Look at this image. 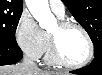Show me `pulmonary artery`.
Segmentation results:
<instances>
[{"instance_id":"pulmonary-artery-1","label":"pulmonary artery","mask_w":102,"mask_h":75,"mask_svg":"<svg viewBox=\"0 0 102 75\" xmlns=\"http://www.w3.org/2000/svg\"><path fill=\"white\" fill-rule=\"evenodd\" d=\"M51 10L58 16L64 17L66 14V8L60 0H49L48 1Z\"/></svg>"}]
</instances>
